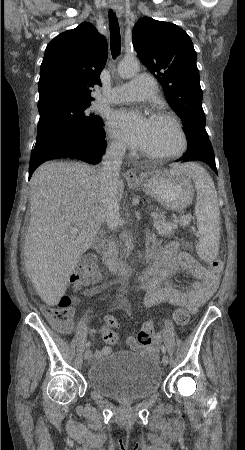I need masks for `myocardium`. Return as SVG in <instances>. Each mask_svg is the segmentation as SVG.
<instances>
[{"mask_svg":"<svg viewBox=\"0 0 245 450\" xmlns=\"http://www.w3.org/2000/svg\"><path fill=\"white\" fill-rule=\"evenodd\" d=\"M153 120L164 121V122L169 123L178 133L179 144L174 150L169 151V152L143 151V154L147 157H150V158H153L156 160H161V161L170 160V159L176 158V157L184 154L188 148V138H187L186 132H185L182 124L178 120V118H176L173 114H171L167 111H161V112H157L153 115Z\"/></svg>","mask_w":245,"mask_h":450,"instance_id":"myocardium-1","label":"myocardium"}]
</instances>
